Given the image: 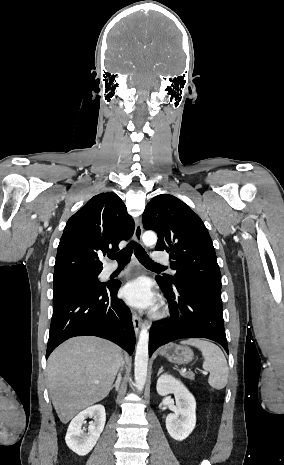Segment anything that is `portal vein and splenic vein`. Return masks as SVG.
<instances>
[{
	"mask_svg": "<svg viewBox=\"0 0 284 465\" xmlns=\"http://www.w3.org/2000/svg\"><path fill=\"white\" fill-rule=\"evenodd\" d=\"M181 373H185V371H181ZM201 373H203V375H208V373H206V371H201Z\"/></svg>",
	"mask_w": 284,
	"mask_h": 465,
	"instance_id": "1",
	"label": "portal vein and splenic vein"
}]
</instances>
